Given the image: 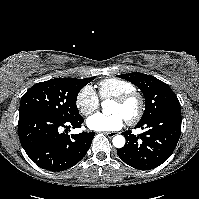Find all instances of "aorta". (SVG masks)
I'll return each instance as SVG.
<instances>
[{
	"instance_id": "aorta-1",
	"label": "aorta",
	"mask_w": 199,
	"mask_h": 199,
	"mask_svg": "<svg viewBox=\"0 0 199 199\" xmlns=\"http://www.w3.org/2000/svg\"><path fill=\"white\" fill-rule=\"evenodd\" d=\"M112 103L111 100H105L102 102V108H103V112L104 114H108V111H107V106L108 104ZM112 143L113 145L116 147V148H122L124 147L125 145V138L124 136L122 135H116L113 140H112Z\"/></svg>"
}]
</instances>
